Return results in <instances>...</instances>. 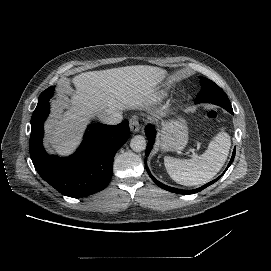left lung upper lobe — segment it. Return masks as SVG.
<instances>
[{
	"instance_id": "1",
	"label": "left lung upper lobe",
	"mask_w": 271,
	"mask_h": 271,
	"mask_svg": "<svg viewBox=\"0 0 271 271\" xmlns=\"http://www.w3.org/2000/svg\"><path fill=\"white\" fill-rule=\"evenodd\" d=\"M201 91L195 99V103L208 102L226 110H232L231 103L224 91L213 81L205 77H200Z\"/></svg>"
}]
</instances>
